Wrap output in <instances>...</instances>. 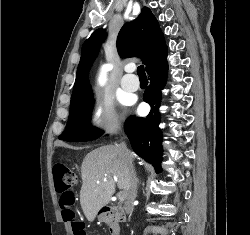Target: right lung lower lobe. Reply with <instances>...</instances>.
Instances as JSON below:
<instances>
[{"instance_id":"1","label":"right lung lower lobe","mask_w":250,"mask_h":235,"mask_svg":"<svg viewBox=\"0 0 250 235\" xmlns=\"http://www.w3.org/2000/svg\"><path fill=\"white\" fill-rule=\"evenodd\" d=\"M167 47H165L146 67L150 77V86L145 90L143 99L151 106L146 118L130 117L126 121L125 131L130 139L133 150L147 162L151 163L156 172L161 171L162 134L158 125L160 115L158 108L161 90L167 77Z\"/></svg>"}]
</instances>
